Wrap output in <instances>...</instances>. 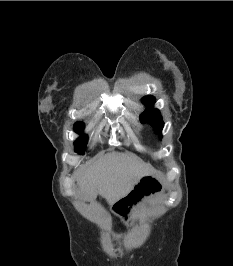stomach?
<instances>
[{
	"instance_id": "0dacf381",
	"label": "stomach",
	"mask_w": 233,
	"mask_h": 266,
	"mask_svg": "<svg viewBox=\"0 0 233 266\" xmlns=\"http://www.w3.org/2000/svg\"><path fill=\"white\" fill-rule=\"evenodd\" d=\"M166 190L167 187L159 176L154 174L144 175L135 184L132 191L125 195L126 199H120V204H115L114 208L120 209V214H124L126 221H133L132 214H135L136 210L127 209V204H132L134 200L137 208L143 207L158 195L165 194ZM122 228H129V223H122Z\"/></svg>"
}]
</instances>
